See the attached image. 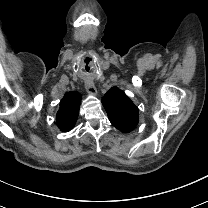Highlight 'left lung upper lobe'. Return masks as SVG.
Segmentation results:
<instances>
[{"label":"left lung upper lobe","mask_w":208,"mask_h":208,"mask_svg":"<svg viewBox=\"0 0 208 208\" xmlns=\"http://www.w3.org/2000/svg\"><path fill=\"white\" fill-rule=\"evenodd\" d=\"M102 104L110 122L122 132L132 131L138 124L139 109L119 88L112 87L103 96Z\"/></svg>","instance_id":"5c2ea615"}]
</instances>
